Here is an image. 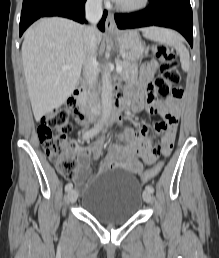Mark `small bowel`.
Masks as SVG:
<instances>
[{"mask_svg": "<svg viewBox=\"0 0 219 258\" xmlns=\"http://www.w3.org/2000/svg\"><path fill=\"white\" fill-rule=\"evenodd\" d=\"M157 69L158 63L156 61H147L142 65L139 83L126 89L119 88L118 94L123 98H127L130 103L131 111L127 113V116H131L133 112L144 107L142 100L143 89L152 80ZM181 99L170 96L165 101H160L153 93H148L146 108L151 112L160 113L163 117V120L154 126L157 133H163L161 144H154L150 139L146 138L148 128L145 125L136 128L124 126L118 133L122 144L114 145L110 148L106 158L100 164V172L122 169L138 174L141 178L143 177L141 173L146 171L143 170V165L138 160V157L142 158L152 168V161H156L161 152L164 156H168L174 145L182 106ZM119 122L122 123L121 117ZM102 147L103 140L95 141L89 146L76 144L79 169L73 177V181L78 187L87 186L90 159L98 160Z\"/></svg>", "mask_w": 219, "mask_h": 258, "instance_id": "obj_1", "label": "small bowel"}]
</instances>
